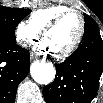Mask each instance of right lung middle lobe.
<instances>
[{
  "instance_id": "obj_1",
  "label": "right lung middle lobe",
  "mask_w": 103,
  "mask_h": 103,
  "mask_svg": "<svg viewBox=\"0 0 103 103\" xmlns=\"http://www.w3.org/2000/svg\"><path fill=\"white\" fill-rule=\"evenodd\" d=\"M31 10L0 7V40L15 42V28L17 24L27 15Z\"/></svg>"
}]
</instances>
